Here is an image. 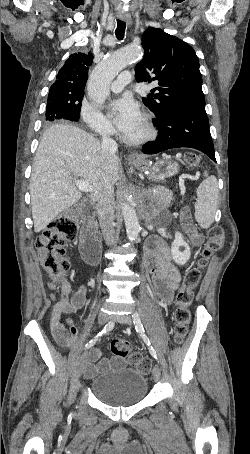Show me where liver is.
Here are the masks:
<instances>
[{
	"instance_id": "6515ba94",
	"label": "liver",
	"mask_w": 250,
	"mask_h": 454,
	"mask_svg": "<svg viewBox=\"0 0 250 454\" xmlns=\"http://www.w3.org/2000/svg\"><path fill=\"white\" fill-rule=\"evenodd\" d=\"M120 160L103 157L100 142L91 134L68 124H56L43 134L30 178L34 231L44 230L54 218L81 198L74 179L92 187L89 199L99 201L106 186L119 179Z\"/></svg>"
}]
</instances>
